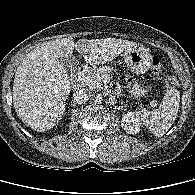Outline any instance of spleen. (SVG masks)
<instances>
[{
  "label": "spleen",
  "instance_id": "3e777b00",
  "mask_svg": "<svg viewBox=\"0 0 195 195\" xmlns=\"http://www.w3.org/2000/svg\"><path fill=\"white\" fill-rule=\"evenodd\" d=\"M180 102V93L177 89L167 90L162 103L158 109L153 111H144L141 122L149 127L150 131L156 136H163L174 123Z\"/></svg>",
  "mask_w": 195,
  "mask_h": 195
}]
</instances>
